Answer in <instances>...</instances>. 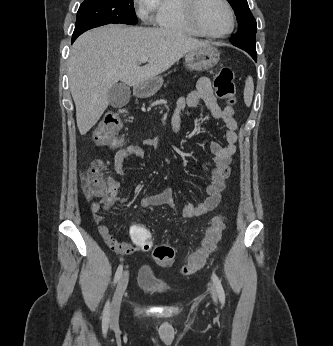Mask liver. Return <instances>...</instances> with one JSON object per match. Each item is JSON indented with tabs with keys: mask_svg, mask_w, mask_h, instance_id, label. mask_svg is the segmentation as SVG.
I'll return each instance as SVG.
<instances>
[{
	"mask_svg": "<svg viewBox=\"0 0 333 346\" xmlns=\"http://www.w3.org/2000/svg\"><path fill=\"white\" fill-rule=\"evenodd\" d=\"M209 45L180 32L107 25L82 34L68 59L77 127L85 135L108 107L107 93L118 81L136 87L168 70L189 51ZM148 64L140 66L142 58Z\"/></svg>",
	"mask_w": 333,
	"mask_h": 346,
	"instance_id": "obj_1",
	"label": "liver"
}]
</instances>
